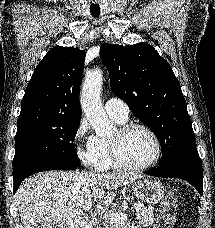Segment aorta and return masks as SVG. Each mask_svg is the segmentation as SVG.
<instances>
[{"instance_id": "aorta-1", "label": "aorta", "mask_w": 215, "mask_h": 228, "mask_svg": "<svg viewBox=\"0 0 215 228\" xmlns=\"http://www.w3.org/2000/svg\"><path fill=\"white\" fill-rule=\"evenodd\" d=\"M102 86V72L95 70L86 76L80 94L82 110L97 136H103L111 132L113 126L109 122L103 106L100 102V90Z\"/></svg>"}]
</instances>
